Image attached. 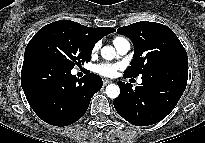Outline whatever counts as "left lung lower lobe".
<instances>
[{
  "mask_svg": "<svg viewBox=\"0 0 205 143\" xmlns=\"http://www.w3.org/2000/svg\"><path fill=\"white\" fill-rule=\"evenodd\" d=\"M188 78V63L173 62L156 66L142 75L135 90L118 82L119 96L113 101L117 113L136 126H148L164 119L182 96Z\"/></svg>",
  "mask_w": 205,
  "mask_h": 143,
  "instance_id": "0a47b994",
  "label": "left lung lower lobe"
}]
</instances>
